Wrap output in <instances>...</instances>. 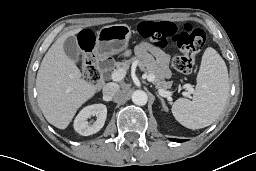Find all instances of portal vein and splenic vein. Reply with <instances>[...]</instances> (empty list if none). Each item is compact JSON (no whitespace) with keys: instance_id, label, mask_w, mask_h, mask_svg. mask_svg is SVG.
Wrapping results in <instances>:
<instances>
[{"instance_id":"portal-vein-and-splenic-vein-1","label":"portal vein and splenic vein","mask_w":256,"mask_h":171,"mask_svg":"<svg viewBox=\"0 0 256 171\" xmlns=\"http://www.w3.org/2000/svg\"><path fill=\"white\" fill-rule=\"evenodd\" d=\"M125 75H126V70L119 69L117 71H114L111 74V79L113 81H120L125 77ZM147 80L149 82H152L154 80V76L148 75ZM186 88H187V92H185L184 95L185 96H190V94H192V92H193V88L190 85H186ZM158 92L161 96L166 97V98H170V96H171V92L166 91L164 89H159Z\"/></svg>"}]
</instances>
